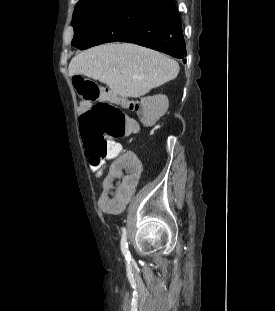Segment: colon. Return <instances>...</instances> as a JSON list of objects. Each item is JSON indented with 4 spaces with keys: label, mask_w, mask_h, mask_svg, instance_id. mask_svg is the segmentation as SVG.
I'll list each match as a JSON object with an SVG mask.
<instances>
[{
    "label": "colon",
    "mask_w": 275,
    "mask_h": 311,
    "mask_svg": "<svg viewBox=\"0 0 275 311\" xmlns=\"http://www.w3.org/2000/svg\"><path fill=\"white\" fill-rule=\"evenodd\" d=\"M73 84L80 101L100 100L80 115L82 137L89 156L97 160L116 157L121 148L115 140L134 132L132 121L105 98V93L91 79L75 76ZM125 107L135 109L143 125H152L157 118L150 101L126 103Z\"/></svg>",
    "instance_id": "colon-1"
}]
</instances>
